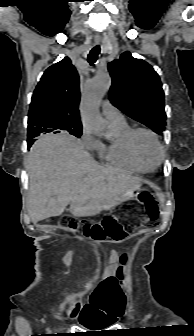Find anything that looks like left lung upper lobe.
<instances>
[{"label":"left lung upper lobe","mask_w":194,"mask_h":336,"mask_svg":"<svg viewBox=\"0 0 194 336\" xmlns=\"http://www.w3.org/2000/svg\"><path fill=\"white\" fill-rule=\"evenodd\" d=\"M108 69L112 77L111 102L126 115L162 134L166 125L164 92L152 66L125 52L109 63Z\"/></svg>","instance_id":"5c2ea615"}]
</instances>
